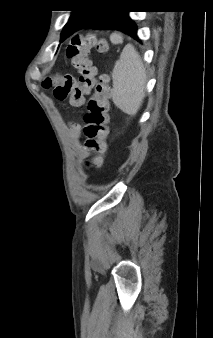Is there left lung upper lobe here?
Listing matches in <instances>:
<instances>
[{
	"label": "left lung upper lobe",
	"mask_w": 213,
	"mask_h": 338,
	"mask_svg": "<svg viewBox=\"0 0 213 338\" xmlns=\"http://www.w3.org/2000/svg\"><path fill=\"white\" fill-rule=\"evenodd\" d=\"M85 10H75L73 11L69 21L67 22V24L64 26L63 31L61 33V42L64 41L66 39V33L68 28L70 27V25L84 12Z\"/></svg>",
	"instance_id": "5c2ea615"
}]
</instances>
